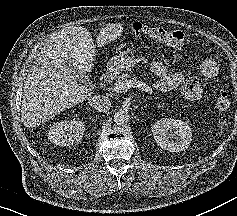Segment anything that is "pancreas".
Instances as JSON below:
<instances>
[{
  "label": "pancreas",
  "instance_id": "obj_1",
  "mask_svg": "<svg viewBox=\"0 0 237 216\" xmlns=\"http://www.w3.org/2000/svg\"><path fill=\"white\" fill-rule=\"evenodd\" d=\"M128 78H130L129 75H122V76H120L118 79L126 80V79H128ZM145 87H148V85L146 84ZM150 93H151V91H150Z\"/></svg>",
  "mask_w": 237,
  "mask_h": 216
}]
</instances>
